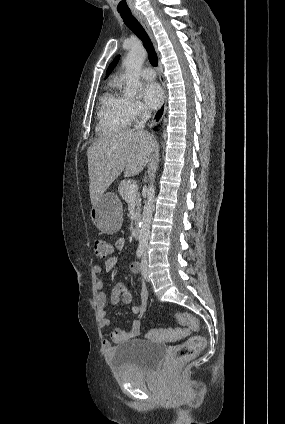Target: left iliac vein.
<instances>
[{
    "label": "left iliac vein",
    "instance_id": "left-iliac-vein-1",
    "mask_svg": "<svg viewBox=\"0 0 285 424\" xmlns=\"http://www.w3.org/2000/svg\"><path fill=\"white\" fill-rule=\"evenodd\" d=\"M147 265H148V255L147 253H145L141 261V271H142V276L144 277V279L149 282L150 279L148 277Z\"/></svg>",
    "mask_w": 285,
    "mask_h": 424
}]
</instances>
